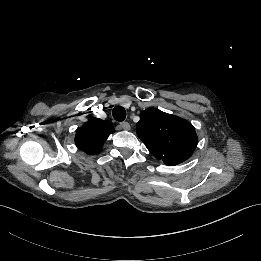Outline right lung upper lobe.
<instances>
[{
    "label": "right lung upper lobe",
    "instance_id": "right-lung-upper-lobe-1",
    "mask_svg": "<svg viewBox=\"0 0 261 261\" xmlns=\"http://www.w3.org/2000/svg\"><path fill=\"white\" fill-rule=\"evenodd\" d=\"M115 131L106 120L90 118L76 130L75 144L83 152L93 155L101 151L108 136Z\"/></svg>",
    "mask_w": 261,
    "mask_h": 261
}]
</instances>
